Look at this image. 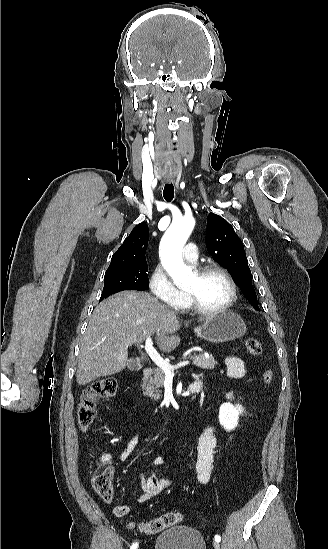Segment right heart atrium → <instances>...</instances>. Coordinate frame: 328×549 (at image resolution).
<instances>
[{"instance_id": "d8ad5b80", "label": "right heart atrium", "mask_w": 328, "mask_h": 549, "mask_svg": "<svg viewBox=\"0 0 328 549\" xmlns=\"http://www.w3.org/2000/svg\"><path fill=\"white\" fill-rule=\"evenodd\" d=\"M148 288L154 303H171L177 296V288L160 262L150 268Z\"/></svg>"}]
</instances>
